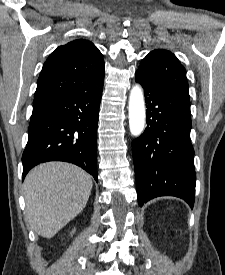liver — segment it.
<instances>
[{
    "mask_svg": "<svg viewBox=\"0 0 225 275\" xmlns=\"http://www.w3.org/2000/svg\"><path fill=\"white\" fill-rule=\"evenodd\" d=\"M92 186V177L73 164L49 162L33 168L24 180L31 228L52 238L84 209Z\"/></svg>",
    "mask_w": 225,
    "mask_h": 275,
    "instance_id": "liver-1",
    "label": "liver"
}]
</instances>
